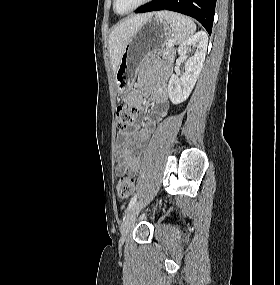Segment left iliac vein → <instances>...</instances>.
<instances>
[{
    "label": "left iliac vein",
    "mask_w": 280,
    "mask_h": 285,
    "mask_svg": "<svg viewBox=\"0 0 280 285\" xmlns=\"http://www.w3.org/2000/svg\"><path fill=\"white\" fill-rule=\"evenodd\" d=\"M141 205H142L141 202L135 203L128 210L126 217H125V220L122 223L121 228H120L123 241L127 238L128 234L131 230V227H132L133 223L135 222L137 215L140 212Z\"/></svg>",
    "instance_id": "1"
}]
</instances>
